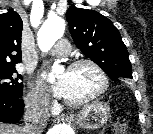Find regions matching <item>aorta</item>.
<instances>
[{
    "instance_id": "1",
    "label": "aorta",
    "mask_w": 153,
    "mask_h": 134,
    "mask_svg": "<svg viewBox=\"0 0 153 134\" xmlns=\"http://www.w3.org/2000/svg\"><path fill=\"white\" fill-rule=\"evenodd\" d=\"M65 22L62 18L58 16H50L39 29L38 36V46L41 51L46 52L55 44V42L61 38L64 33ZM59 71V66L54 65L52 67L51 73L48 75V80L54 82L55 75ZM53 134H73V130L70 126L65 124L58 125L53 129Z\"/></svg>"
}]
</instances>
